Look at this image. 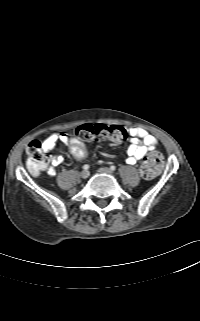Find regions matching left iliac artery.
I'll return each mask as SVG.
<instances>
[{
  "mask_svg": "<svg viewBox=\"0 0 200 321\" xmlns=\"http://www.w3.org/2000/svg\"><path fill=\"white\" fill-rule=\"evenodd\" d=\"M110 169H111L112 171H114V170L116 169V167H115V166H111Z\"/></svg>",
  "mask_w": 200,
  "mask_h": 321,
  "instance_id": "44dca946",
  "label": "left iliac artery"
}]
</instances>
